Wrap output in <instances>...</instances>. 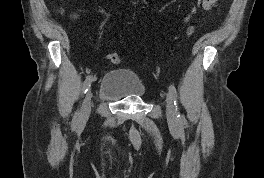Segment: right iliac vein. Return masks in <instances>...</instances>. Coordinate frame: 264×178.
<instances>
[{
	"label": "right iliac vein",
	"instance_id": "1",
	"mask_svg": "<svg viewBox=\"0 0 264 178\" xmlns=\"http://www.w3.org/2000/svg\"><path fill=\"white\" fill-rule=\"evenodd\" d=\"M92 91L91 89L89 88L85 98H84V101H83V105H82V110H81V114H80V117H79V124H84L88 117H89V114L91 112V100H92Z\"/></svg>",
	"mask_w": 264,
	"mask_h": 178
}]
</instances>
